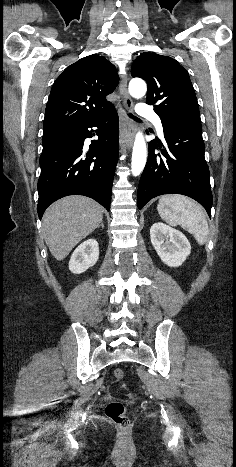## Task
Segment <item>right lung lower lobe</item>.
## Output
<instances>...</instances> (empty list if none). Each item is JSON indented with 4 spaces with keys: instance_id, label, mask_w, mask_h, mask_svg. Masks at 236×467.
<instances>
[{
    "instance_id": "right-lung-lower-lobe-1",
    "label": "right lung lower lobe",
    "mask_w": 236,
    "mask_h": 467,
    "mask_svg": "<svg viewBox=\"0 0 236 467\" xmlns=\"http://www.w3.org/2000/svg\"><path fill=\"white\" fill-rule=\"evenodd\" d=\"M97 127L99 139L89 151L84 140ZM119 118L115 108L84 125L43 136L38 180L39 218L54 201L68 195L93 198L110 211L111 189L118 161Z\"/></svg>"
}]
</instances>
